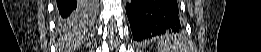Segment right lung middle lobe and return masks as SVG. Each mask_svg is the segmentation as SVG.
I'll return each mask as SVG.
<instances>
[{"mask_svg":"<svg viewBox=\"0 0 261 52\" xmlns=\"http://www.w3.org/2000/svg\"><path fill=\"white\" fill-rule=\"evenodd\" d=\"M82 4V6L84 7L82 11H80V13L75 16L74 18L72 19H61L60 22L62 24H65V23H69V22H80L83 18H82V15L83 13L86 11V10H94L95 9V2L94 1H88V2H80Z\"/></svg>","mask_w":261,"mask_h":52,"instance_id":"1","label":"right lung middle lobe"}]
</instances>
